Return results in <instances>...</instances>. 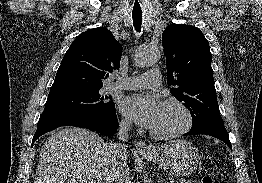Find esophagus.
<instances>
[{"label":"esophagus","mask_w":262,"mask_h":183,"mask_svg":"<svg viewBox=\"0 0 262 183\" xmlns=\"http://www.w3.org/2000/svg\"><path fill=\"white\" fill-rule=\"evenodd\" d=\"M135 146L139 152H146L151 150V147L143 140L137 141Z\"/></svg>","instance_id":"obj_1"}]
</instances>
